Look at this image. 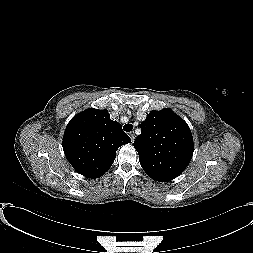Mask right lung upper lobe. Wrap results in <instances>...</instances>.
<instances>
[{
  "mask_svg": "<svg viewBox=\"0 0 253 253\" xmlns=\"http://www.w3.org/2000/svg\"><path fill=\"white\" fill-rule=\"evenodd\" d=\"M131 139L121 125L110 119L107 109H87L68 123L64 153L75 170L88 178H99L112 166L118 147Z\"/></svg>",
  "mask_w": 253,
  "mask_h": 253,
  "instance_id": "obj_1",
  "label": "right lung upper lobe"
}]
</instances>
